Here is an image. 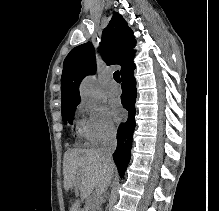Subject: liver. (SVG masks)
<instances>
[{
	"label": "liver",
	"instance_id": "liver-1",
	"mask_svg": "<svg viewBox=\"0 0 219 211\" xmlns=\"http://www.w3.org/2000/svg\"><path fill=\"white\" fill-rule=\"evenodd\" d=\"M115 173V165L109 159H104L98 149H68L64 153L63 179L66 191L75 189L80 199L72 201L69 211H85L80 207L83 199L89 197L93 189L98 195L97 201H105L101 193H106L108 185ZM99 197V199H98Z\"/></svg>",
	"mask_w": 219,
	"mask_h": 211
}]
</instances>
